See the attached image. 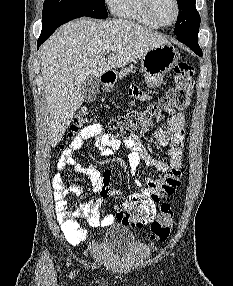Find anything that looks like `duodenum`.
Here are the masks:
<instances>
[{
    "label": "duodenum",
    "instance_id": "410a0bca",
    "mask_svg": "<svg viewBox=\"0 0 233 286\" xmlns=\"http://www.w3.org/2000/svg\"><path fill=\"white\" fill-rule=\"evenodd\" d=\"M101 80L105 86H111L115 81V74L111 71H107L102 75Z\"/></svg>",
    "mask_w": 233,
    "mask_h": 286
}]
</instances>
